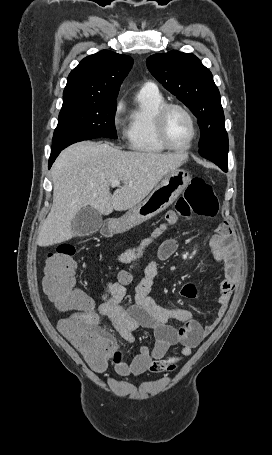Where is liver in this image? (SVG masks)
<instances>
[{
  "label": "liver",
  "mask_w": 272,
  "mask_h": 455,
  "mask_svg": "<svg viewBox=\"0 0 272 455\" xmlns=\"http://www.w3.org/2000/svg\"><path fill=\"white\" fill-rule=\"evenodd\" d=\"M186 160V154L126 152L110 143L86 141L67 147L52 167L53 205L37 244L47 247L70 240L72 220L87 205L103 215L134 208ZM114 180L124 185L112 195Z\"/></svg>",
  "instance_id": "6515ba94"
}]
</instances>
